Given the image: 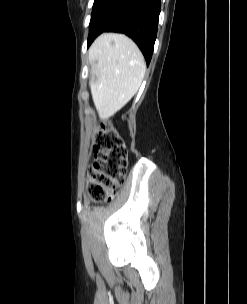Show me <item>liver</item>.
<instances>
[{
	"label": "liver",
	"mask_w": 247,
	"mask_h": 304,
	"mask_svg": "<svg viewBox=\"0 0 247 304\" xmlns=\"http://www.w3.org/2000/svg\"><path fill=\"white\" fill-rule=\"evenodd\" d=\"M89 61L95 108L99 117L109 118L138 91L146 69L143 55L127 36L104 33L91 45Z\"/></svg>",
	"instance_id": "obj_1"
}]
</instances>
